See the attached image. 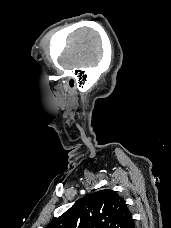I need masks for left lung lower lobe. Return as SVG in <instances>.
<instances>
[{"mask_svg": "<svg viewBox=\"0 0 171 228\" xmlns=\"http://www.w3.org/2000/svg\"><path fill=\"white\" fill-rule=\"evenodd\" d=\"M123 228H135L134 220L132 219V217L128 219Z\"/></svg>", "mask_w": 171, "mask_h": 228, "instance_id": "1", "label": "left lung lower lobe"}]
</instances>
